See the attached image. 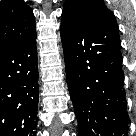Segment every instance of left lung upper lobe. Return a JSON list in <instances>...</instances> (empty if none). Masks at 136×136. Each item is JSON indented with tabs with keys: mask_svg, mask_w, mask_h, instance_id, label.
<instances>
[{
	"mask_svg": "<svg viewBox=\"0 0 136 136\" xmlns=\"http://www.w3.org/2000/svg\"><path fill=\"white\" fill-rule=\"evenodd\" d=\"M62 22L74 25H108L118 28L103 0H66Z\"/></svg>",
	"mask_w": 136,
	"mask_h": 136,
	"instance_id": "5c2ea615",
	"label": "left lung upper lobe"
}]
</instances>
